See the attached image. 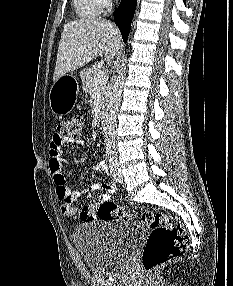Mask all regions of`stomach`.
<instances>
[{
	"label": "stomach",
	"instance_id": "obj_1",
	"mask_svg": "<svg viewBox=\"0 0 233 286\" xmlns=\"http://www.w3.org/2000/svg\"><path fill=\"white\" fill-rule=\"evenodd\" d=\"M66 79L55 81L49 93L50 109L57 116L70 112L76 101V89Z\"/></svg>",
	"mask_w": 233,
	"mask_h": 286
}]
</instances>
